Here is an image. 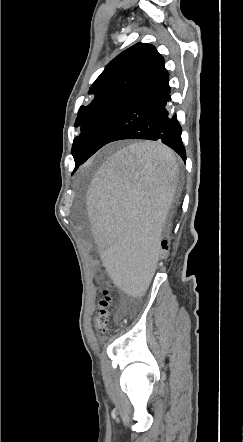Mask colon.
<instances>
[{
	"label": "colon",
	"mask_w": 243,
	"mask_h": 442,
	"mask_svg": "<svg viewBox=\"0 0 243 442\" xmlns=\"http://www.w3.org/2000/svg\"><path fill=\"white\" fill-rule=\"evenodd\" d=\"M160 242L162 244L161 251L157 256L158 262H163L165 258H167L168 253L170 251L171 243L169 238L166 236L161 237ZM106 276H109V273H106ZM115 280L113 278H107L106 284L113 285ZM114 292L112 288H108L102 291V299H96L95 306L98 309L96 316L94 317V325L97 331L100 334H105L108 330L110 324V308L113 305L114 301Z\"/></svg>",
	"instance_id": "colon-1"
}]
</instances>
